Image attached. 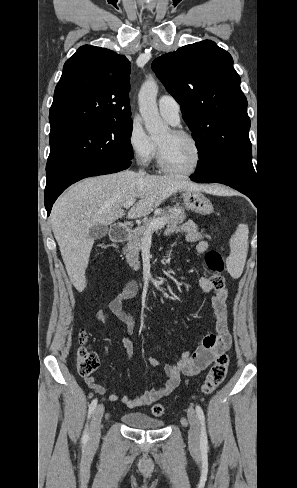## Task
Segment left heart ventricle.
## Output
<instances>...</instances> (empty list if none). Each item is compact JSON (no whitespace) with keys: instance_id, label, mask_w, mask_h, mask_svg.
Masks as SVG:
<instances>
[{"instance_id":"1","label":"left heart ventricle","mask_w":297,"mask_h":488,"mask_svg":"<svg viewBox=\"0 0 297 488\" xmlns=\"http://www.w3.org/2000/svg\"><path fill=\"white\" fill-rule=\"evenodd\" d=\"M163 150L166 163L176 170L190 169L196 160V151L190 140L166 132L157 142Z\"/></svg>"}]
</instances>
